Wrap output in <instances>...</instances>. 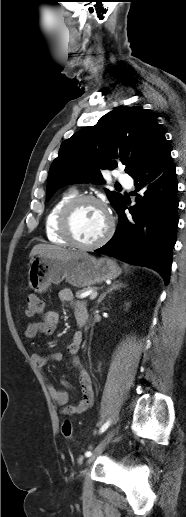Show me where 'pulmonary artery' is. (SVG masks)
Instances as JSON below:
<instances>
[{
	"mask_svg": "<svg viewBox=\"0 0 186 517\" xmlns=\"http://www.w3.org/2000/svg\"><path fill=\"white\" fill-rule=\"evenodd\" d=\"M117 180L120 184H123L127 187H131L132 186V179L129 175L127 174H118L117 176Z\"/></svg>",
	"mask_w": 186,
	"mask_h": 517,
	"instance_id": "obj_1",
	"label": "pulmonary artery"
}]
</instances>
